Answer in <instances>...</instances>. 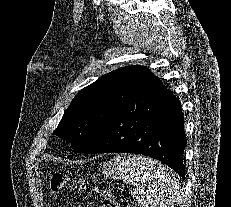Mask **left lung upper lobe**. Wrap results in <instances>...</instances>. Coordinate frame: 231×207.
I'll use <instances>...</instances> for the list:
<instances>
[{"label": "left lung upper lobe", "instance_id": "obj_1", "mask_svg": "<svg viewBox=\"0 0 231 207\" xmlns=\"http://www.w3.org/2000/svg\"><path fill=\"white\" fill-rule=\"evenodd\" d=\"M151 74L148 68L135 65L103 75L74 97L54 134L71 143L76 153L85 152Z\"/></svg>", "mask_w": 231, "mask_h": 207}]
</instances>
